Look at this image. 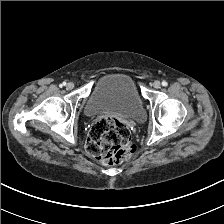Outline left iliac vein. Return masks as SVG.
I'll return each mask as SVG.
<instances>
[{
    "label": "left iliac vein",
    "mask_w": 224,
    "mask_h": 224,
    "mask_svg": "<svg viewBox=\"0 0 224 224\" xmlns=\"http://www.w3.org/2000/svg\"><path fill=\"white\" fill-rule=\"evenodd\" d=\"M153 87H154L155 89H159V88L161 87V83H160L159 81H154V83H153Z\"/></svg>",
    "instance_id": "obj_1"
}]
</instances>
